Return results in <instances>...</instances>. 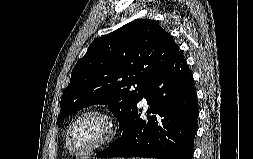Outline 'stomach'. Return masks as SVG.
<instances>
[{"label": "stomach", "instance_id": "0dacf381", "mask_svg": "<svg viewBox=\"0 0 253 159\" xmlns=\"http://www.w3.org/2000/svg\"><path fill=\"white\" fill-rule=\"evenodd\" d=\"M114 159H123V158H114ZM133 159H137V158H133Z\"/></svg>", "mask_w": 253, "mask_h": 159}]
</instances>
